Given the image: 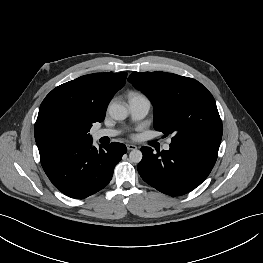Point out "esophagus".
<instances>
[{"label":"esophagus","mask_w":263,"mask_h":263,"mask_svg":"<svg viewBox=\"0 0 263 263\" xmlns=\"http://www.w3.org/2000/svg\"><path fill=\"white\" fill-rule=\"evenodd\" d=\"M126 146H127L128 151L137 149V146L134 144H127Z\"/></svg>","instance_id":"1"}]
</instances>
